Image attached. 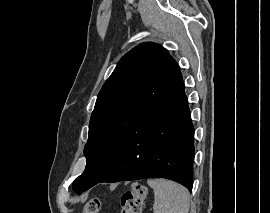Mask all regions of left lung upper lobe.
<instances>
[{"instance_id": "obj_1", "label": "left lung upper lobe", "mask_w": 270, "mask_h": 213, "mask_svg": "<svg viewBox=\"0 0 270 213\" xmlns=\"http://www.w3.org/2000/svg\"><path fill=\"white\" fill-rule=\"evenodd\" d=\"M182 79L169 52L146 42L125 54L100 90L84 148L85 171L73 182L76 193L99 183L139 125Z\"/></svg>"}]
</instances>
